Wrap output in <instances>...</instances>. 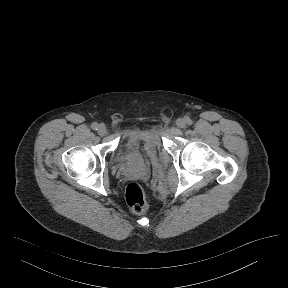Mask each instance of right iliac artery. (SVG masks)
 <instances>
[{
  "label": "right iliac artery",
  "instance_id": "82829eb1",
  "mask_svg": "<svg viewBox=\"0 0 288 288\" xmlns=\"http://www.w3.org/2000/svg\"><path fill=\"white\" fill-rule=\"evenodd\" d=\"M92 129L97 130L98 129V123L94 122L91 125Z\"/></svg>",
  "mask_w": 288,
  "mask_h": 288
}]
</instances>
